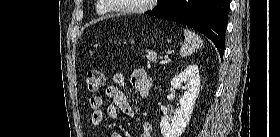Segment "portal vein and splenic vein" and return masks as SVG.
<instances>
[{
	"label": "portal vein and splenic vein",
	"mask_w": 280,
	"mask_h": 137,
	"mask_svg": "<svg viewBox=\"0 0 280 137\" xmlns=\"http://www.w3.org/2000/svg\"><path fill=\"white\" fill-rule=\"evenodd\" d=\"M164 59H165V60L168 59V55H165V56H164Z\"/></svg>",
	"instance_id": "obj_1"
}]
</instances>
